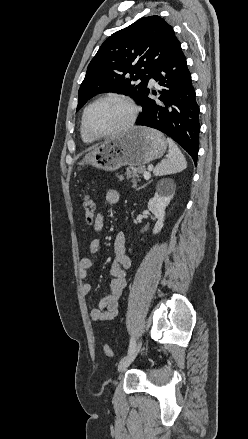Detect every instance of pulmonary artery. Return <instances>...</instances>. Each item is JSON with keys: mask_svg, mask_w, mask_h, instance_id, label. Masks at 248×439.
I'll list each match as a JSON object with an SVG mask.
<instances>
[{"mask_svg": "<svg viewBox=\"0 0 248 439\" xmlns=\"http://www.w3.org/2000/svg\"><path fill=\"white\" fill-rule=\"evenodd\" d=\"M150 83H151V84H154V80H153V79H151V80H150Z\"/></svg>", "mask_w": 248, "mask_h": 439, "instance_id": "e3ab8cb5", "label": "pulmonary artery"}]
</instances>
